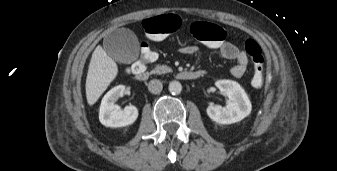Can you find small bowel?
<instances>
[{
    "label": "small bowel",
    "instance_id": "1",
    "mask_svg": "<svg viewBox=\"0 0 337 171\" xmlns=\"http://www.w3.org/2000/svg\"><path fill=\"white\" fill-rule=\"evenodd\" d=\"M180 51L183 54L193 55L198 52V48L194 45H187L181 48ZM219 52L223 58L236 62L231 68V74L234 77L239 78L244 75L249 61L244 51L240 50L235 44L226 41L223 46L219 48Z\"/></svg>",
    "mask_w": 337,
    "mask_h": 171
}]
</instances>
